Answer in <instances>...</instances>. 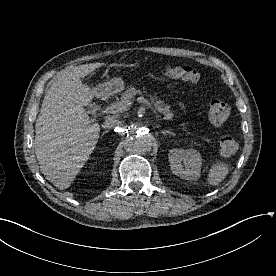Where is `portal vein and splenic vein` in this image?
<instances>
[{"label":"portal vein and splenic vein","mask_w":276,"mask_h":276,"mask_svg":"<svg viewBox=\"0 0 276 276\" xmlns=\"http://www.w3.org/2000/svg\"><path fill=\"white\" fill-rule=\"evenodd\" d=\"M137 101L139 103H141L142 105L150 108L156 114V110L153 108V106L151 105V103L147 99H145L143 97H138ZM131 104H132L131 102H123V101L116 102V103L111 104L110 106H108L102 112L106 113V114L121 113L123 111H126Z\"/></svg>","instance_id":"obj_1"}]
</instances>
